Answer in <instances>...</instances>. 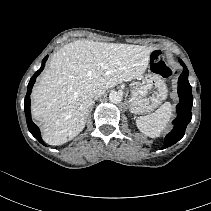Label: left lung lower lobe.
<instances>
[{
	"label": "left lung lower lobe",
	"mask_w": 211,
	"mask_h": 211,
	"mask_svg": "<svg viewBox=\"0 0 211 211\" xmlns=\"http://www.w3.org/2000/svg\"><path fill=\"white\" fill-rule=\"evenodd\" d=\"M180 64L184 69L178 80V95L180 98L179 104L177 105L178 116L173 121V130L165 138L164 148L174 145L184 136L186 127L192 118L191 108L193 105V96L191 85L188 82V69L183 61L180 60Z\"/></svg>",
	"instance_id": "1"
}]
</instances>
